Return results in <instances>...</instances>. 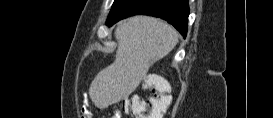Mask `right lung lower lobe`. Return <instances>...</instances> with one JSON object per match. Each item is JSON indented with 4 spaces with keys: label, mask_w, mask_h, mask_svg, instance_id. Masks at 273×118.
<instances>
[{
    "label": "right lung lower lobe",
    "mask_w": 273,
    "mask_h": 118,
    "mask_svg": "<svg viewBox=\"0 0 273 118\" xmlns=\"http://www.w3.org/2000/svg\"><path fill=\"white\" fill-rule=\"evenodd\" d=\"M138 14L164 19L186 37L188 0H123L109 14L106 24L111 26L123 18Z\"/></svg>",
    "instance_id": "obj_1"
}]
</instances>
